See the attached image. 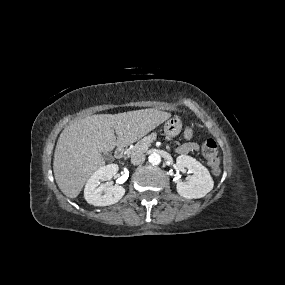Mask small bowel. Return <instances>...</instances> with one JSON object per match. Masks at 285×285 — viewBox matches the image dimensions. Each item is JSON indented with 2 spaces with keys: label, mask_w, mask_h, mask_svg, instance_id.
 <instances>
[{
  "label": "small bowel",
  "mask_w": 285,
  "mask_h": 285,
  "mask_svg": "<svg viewBox=\"0 0 285 285\" xmlns=\"http://www.w3.org/2000/svg\"><path fill=\"white\" fill-rule=\"evenodd\" d=\"M198 151V145L194 142H188L179 148L180 153H189Z\"/></svg>",
  "instance_id": "c3829d8e"
}]
</instances>
